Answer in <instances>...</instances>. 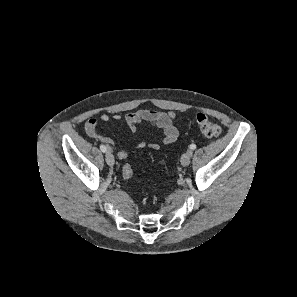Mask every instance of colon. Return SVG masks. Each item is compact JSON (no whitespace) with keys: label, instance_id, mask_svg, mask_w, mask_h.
<instances>
[{"label":"colon","instance_id":"colon-1","mask_svg":"<svg viewBox=\"0 0 297 297\" xmlns=\"http://www.w3.org/2000/svg\"><path fill=\"white\" fill-rule=\"evenodd\" d=\"M196 124L200 132L208 138H217L221 134V127L215 121L210 120L204 114H198L196 116ZM117 157L122 162H126L129 156L125 150H119L117 152ZM134 177L133 170L130 165L126 164L123 168V178L126 181H132Z\"/></svg>","mask_w":297,"mask_h":297}]
</instances>
